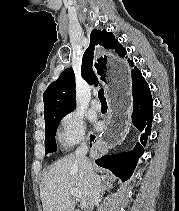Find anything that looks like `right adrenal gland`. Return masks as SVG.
Wrapping results in <instances>:
<instances>
[{"label":"right adrenal gland","mask_w":179,"mask_h":211,"mask_svg":"<svg viewBox=\"0 0 179 211\" xmlns=\"http://www.w3.org/2000/svg\"><path fill=\"white\" fill-rule=\"evenodd\" d=\"M112 188L111 182L109 180H104V184L102 185L101 197L105 193L106 190H110Z\"/></svg>","instance_id":"2a0ac1e0"}]
</instances>
